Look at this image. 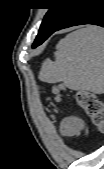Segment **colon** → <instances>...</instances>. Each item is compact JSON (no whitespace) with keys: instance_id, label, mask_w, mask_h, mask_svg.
<instances>
[{"instance_id":"5ec220e1","label":"colon","mask_w":104,"mask_h":169,"mask_svg":"<svg viewBox=\"0 0 104 169\" xmlns=\"http://www.w3.org/2000/svg\"><path fill=\"white\" fill-rule=\"evenodd\" d=\"M64 91L63 85L55 87V100L62 99V92ZM76 100L78 105L82 108L86 116L90 119L91 123L100 130L104 128V111L102 102L97 96L89 91H78L76 93Z\"/></svg>"}]
</instances>
